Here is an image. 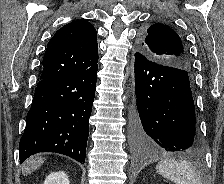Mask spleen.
Masks as SVG:
<instances>
[{
	"label": "spleen",
	"mask_w": 224,
	"mask_h": 184,
	"mask_svg": "<svg viewBox=\"0 0 224 184\" xmlns=\"http://www.w3.org/2000/svg\"><path fill=\"white\" fill-rule=\"evenodd\" d=\"M156 170L176 184H201L199 172L186 161L167 159L159 162Z\"/></svg>",
	"instance_id": "spleen-1"
}]
</instances>
